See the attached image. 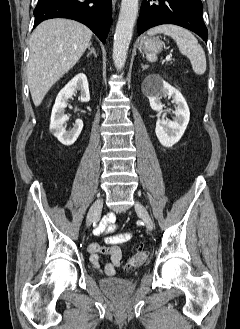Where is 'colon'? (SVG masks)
<instances>
[{
  "label": "colon",
  "instance_id": "colon-1",
  "mask_svg": "<svg viewBox=\"0 0 240 329\" xmlns=\"http://www.w3.org/2000/svg\"><path fill=\"white\" fill-rule=\"evenodd\" d=\"M147 254L144 251H140L136 254H134L128 261V268L129 269H135L139 266H141L145 260H146Z\"/></svg>",
  "mask_w": 240,
  "mask_h": 329
}]
</instances>
